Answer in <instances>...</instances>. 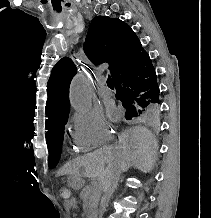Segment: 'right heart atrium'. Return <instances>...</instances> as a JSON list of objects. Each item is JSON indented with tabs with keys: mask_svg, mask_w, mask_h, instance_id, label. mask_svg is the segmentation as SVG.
Listing matches in <instances>:
<instances>
[{
	"mask_svg": "<svg viewBox=\"0 0 211 218\" xmlns=\"http://www.w3.org/2000/svg\"><path fill=\"white\" fill-rule=\"evenodd\" d=\"M71 123L74 141L84 150L97 147L110 137L105 120L96 110L75 113L71 118Z\"/></svg>",
	"mask_w": 211,
	"mask_h": 218,
	"instance_id": "right-heart-atrium-1",
	"label": "right heart atrium"
}]
</instances>
